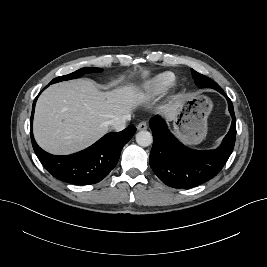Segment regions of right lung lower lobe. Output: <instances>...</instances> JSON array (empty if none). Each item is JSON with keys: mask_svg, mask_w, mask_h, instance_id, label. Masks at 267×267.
I'll list each match as a JSON object with an SVG mask.
<instances>
[{"mask_svg": "<svg viewBox=\"0 0 267 267\" xmlns=\"http://www.w3.org/2000/svg\"><path fill=\"white\" fill-rule=\"evenodd\" d=\"M32 108L31 124L34 108ZM136 127L130 126L121 132L108 133L95 144L78 153L56 156L42 150L31 131L33 149L46 170L55 178L76 185L95 184L104 179L116 166L123 146L135 134Z\"/></svg>", "mask_w": 267, "mask_h": 267, "instance_id": "1", "label": "right lung lower lobe"}]
</instances>
